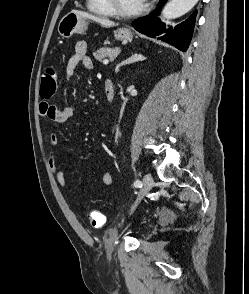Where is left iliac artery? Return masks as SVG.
<instances>
[{
	"instance_id": "1",
	"label": "left iliac artery",
	"mask_w": 249,
	"mask_h": 294,
	"mask_svg": "<svg viewBox=\"0 0 249 294\" xmlns=\"http://www.w3.org/2000/svg\"><path fill=\"white\" fill-rule=\"evenodd\" d=\"M134 186L137 187V188H141L142 187V182L140 180H136L134 182Z\"/></svg>"
}]
</instances>
